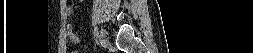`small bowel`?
Returning <instances> with one entry per match:
<instances>
[{
  "label": "small bowel",
  "instance_id": "small-bowel-1",
  "mask_svg": "<svg viewBox=\"0 0 253 53\" xmlns=\"http://www.w3.org/2000/svg\"><path fill=\"white\" fill-rule=\"evenodd\" d=\"M67 35L72 42L74 43L78 42V37L76 33L74 32L73 26L71 24L67 25Z\"/></svg>",
  "mask_w": 253,
  "mask_h": 53
}]
</instances>
